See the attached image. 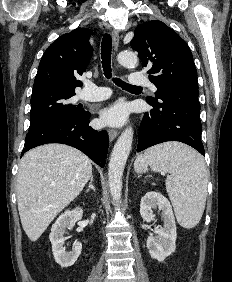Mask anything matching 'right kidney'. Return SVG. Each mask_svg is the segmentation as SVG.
I'll list each match as a JSON object with an SVG mask.
<instances>
[{
	"instance_id": "right-kidney-1",
	"label": "right kidney",
	"mask_w": 232,
	"mask_h": 282,
	"mask_svg": "<svg viewBox=\"0 0 232 282\" xmlns=\"http://www.w3.org/2000/svg\"><path fill=\"white\" fill-rule=\"evenodd\" d=\"M83 216V210L81 208H75L73 210H66L61 214L56 222L53 224L50 233V241L52 244V251L55 261L62 267L67 268L72 266L78 259L82 244L77 242L73 245L72 251L66 252L64 247L63 234L65 230L71 229L77 221Z\"/></svg>"
}]
</instances>
